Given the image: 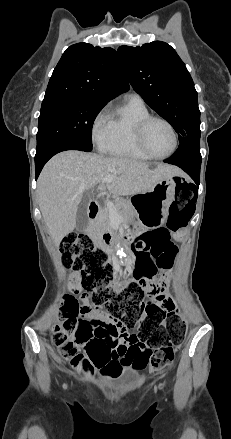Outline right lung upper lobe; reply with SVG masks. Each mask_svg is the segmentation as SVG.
Masks as SVG:
<instances>
[{
	"label": "right lung upper lobe",
	"instance_id": "obj_1",
	"mask_svg": "<svg viewBox=\"0 0 231 439\" xmlns=\"http://www.w3.org/2000/svg\"><path fill=\"white\" fill-rule=\"evenodd\" d=\"M128 89L114 49L77 43L63 53L42 103L81 99L106 104Z\"/></svg>",
	"mask_w": 231,
	"mask_h": 439
}]
</instances>
